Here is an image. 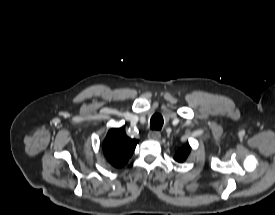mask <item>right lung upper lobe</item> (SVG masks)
I'll return each instance as SVG.
<instances>
[{
  "mask_svg": "<svg viewBox=\"0 0 275 215\" xmlns=\"http://www.w3.org/2000/svg\"><path fill=\"white\" fill-rule=\"evenodd\" d=\"M138 140L127 137L126 133L119 129L109 130L104 142V155L114 167H122L132 156Z\"/></svg>",
  "mask_w": 275,
  "mask_h": 215,
  "instance_id": "right-lung-upper-lobe-1",
  "label": "right lung upper lobe"
}]
</instances>
